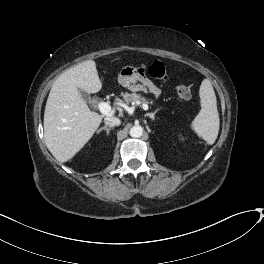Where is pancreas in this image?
Wrapping results in <instances>:
<instances>
[{
  "mask_svg": "<svg viewBox=\"0 0 264 264\" xmlns=\"http://www.w3.org/2000/svg\"><path fill=\"white\" fill-rule=\"evenodd\" d=\"M124 101L129 104L133 103H141V104H153V100L146 99L145 97H142L141 95L134 93H123L122 94Z\"/></svg>",
  "mask_w": 264,
  "mask_h": 264,
  "instance_id": "cf45deb5",
  "label": "pancreas"
}]
</instances>
